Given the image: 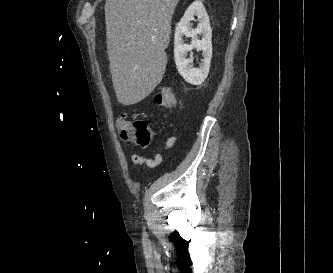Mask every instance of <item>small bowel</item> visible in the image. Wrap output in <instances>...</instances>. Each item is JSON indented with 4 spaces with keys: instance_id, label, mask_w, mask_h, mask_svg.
I'll list each match as a JSON object with an SVG mask.
<instances>
[{
    "instance_id": "small-bowel-1",
    "label": "small bowel",
    "mask_w": 333,
    "mask_h": 273,
    "mask_svg": "<svg viewBox=\"0 0 333 273\" xmlns=\"http://www.w3.org/2000/svg\"><path fill=\"white\" fill-rule=\"evenodd\" d=\"M176 140L177 139L175 136L168 137L164 142L163 150L171 149L175 145ZM130 159L133 163L138 165H147L149 167H156L162 162L163 156L161 152H157L153 158H148L137 153H132L130 155Z\"/></svg>"
}]
</instances>
